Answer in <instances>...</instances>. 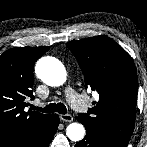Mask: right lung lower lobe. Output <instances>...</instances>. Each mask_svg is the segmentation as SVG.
<instances>
[{
    "instance_id": "obj_1",
    "label": "right lung lower lobe",
    "mask_w": 147,
    "mask_h": 147,
    "mask_svg": "<svg viewBox=\"0 0 147 147\" xmlns=\"http://www.w3.org/2000/svg\"><path fill=\"white\" fill-rule=\"evenodd\" d=\"M58 124V115L52 114L50 120L42 128V130L32 134L29 138L24 139L11 147H48L57 131Z\"/></svg>"
}]
</instances>
